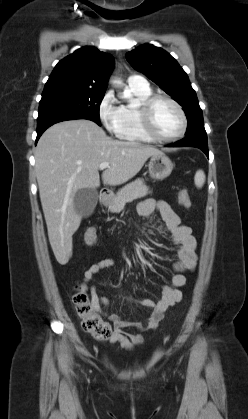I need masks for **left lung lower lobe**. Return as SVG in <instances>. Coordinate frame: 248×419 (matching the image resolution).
I'll return each instance as SVG.
<instances>
[{
  "label": "left lung lower lobe",
  "mask_w": 248,
  "mask_h": 419,
  "mask_svg": "<svg viewBox=\"0 0 248 419\" xmlns=\"http://www.w3.org/2000/svg\"><path fill=\"white\" fill-rule=\"evenodd\" d=\"M169 147H185V146H192L201 149L207 157L208 154V144H207V135L206 131L195 132L190 135L185 136L184 139L168 145Z\"/></svg>",
  "instance_id": "left-lung-lower-lobe-1"
}]
</instances>
